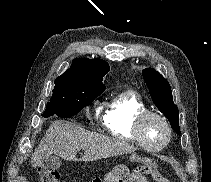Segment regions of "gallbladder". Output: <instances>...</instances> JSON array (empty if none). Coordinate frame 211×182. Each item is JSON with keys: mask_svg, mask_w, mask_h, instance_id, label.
<instances>
[{"mask_svg": "<svg viewBox=\"0 0 211 182\" xmlns=\"http://www.w3.org/2000/svg\"><path fill=\"white\" fill-rule=\"evenodd\" d=\"M45 164L49 169L55 170L59 168L61 161L58 156L50 155L48 158L45 159Z\"/></svg>", "mask_w": 211, "mask_h": 182, "instance_id": "bac80fb5", "label": "gallbladder"}]
</instances>
